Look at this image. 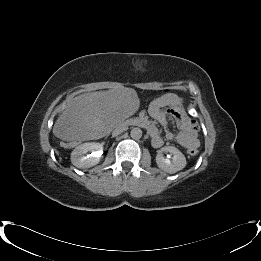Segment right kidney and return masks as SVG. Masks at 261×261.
<instances>
[{"label": "right kidney", "mask_w": 261, "mask_h": 261, "mask_svg": "<svg viewBox=\"0 0 261 261\" xmlns=\"http://www.w3.org/2000/svg\"><path fill=\"white\" fill-rule=\"evenodd\" d=\"M87 152H92L87 154ZM103 153V145L97 142H87L77 146L71 153L72 164L80 169L95 166L100 161Z\"/></svg>", "instance_id": "1"}]
</instances>
